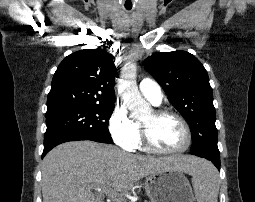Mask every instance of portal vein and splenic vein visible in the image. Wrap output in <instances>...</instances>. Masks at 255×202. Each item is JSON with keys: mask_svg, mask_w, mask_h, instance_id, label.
Returning a JSON list of instances; mask_svg holds the SVG:
<instances>
[{"mask_svg": "<svg viewBox=\"0 0 255 202\" xmlns=\"http://www.w3.org/2000/svg\"><path fill=\"white\" fill-rule=\"evenodd\" d=\"M109 183L104 185L102 187V190L104 191L105 194H108V195H115V193L111 190V188L109 187Z\"/></svg>", "mask_w": 255, "mask_h": 202, "instance_id": "portal-vein-and-splenic-vein-1", "label": "portal vein and splenic vein"}]
</instances>
